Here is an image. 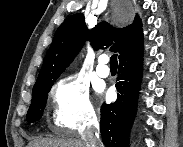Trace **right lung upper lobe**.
I'll use <instances>...</instances> for the list:
<instances>
[{"label": "right lung upper lobe", "mask_w": 183, "mask_h": 147, "mask_svg": "<svg viewBox=\"0 0 183 147\" xmlns=\"http://www.w3.org/2000/svg\"><path fill=\"white\" fill-rule=\"evenodd\" d=\"M89 38L94 49L111 45L110 50L119 52V60L132 55L143 48L142 23L138 16L133 23L124 28H114L101 22L88 31L82 14H74L67 18L57 29L53 42L47 52L33 91L53 85L59 75L72 62Z\"/></svg>", "instance_id": "cb5924a9"}]
</instances>
